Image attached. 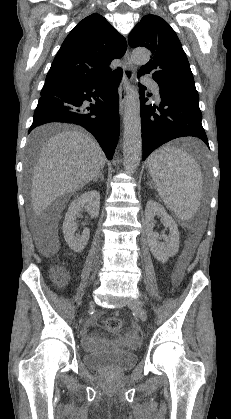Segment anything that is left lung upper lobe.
<instances>
[{
    "label": "left lung upper lobe",
    "mask_w": 231,
    "mask_h": 419,
    "mask_svg": "<svg viewBox=\"0 0 231 419\" xmlns=\"http://www.w3.org/2000/svg\"><path fill=\"white\" fill-rule=\"evenodd\" d=\"M128 42L132 48L146 47L152 55L138 74L151 73L160 88L198 94L182 45L175 31L161 17L144 16L130 32Z\"/></svg>",
    "instance_id": "1"
}]
</instances>
